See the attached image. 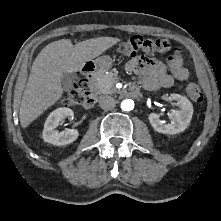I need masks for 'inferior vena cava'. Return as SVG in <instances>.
<instances>
[{
    "label": "inferior vena cava",
    "mask_w": 221,
    "mask_h": 221,
    "mask_svg": "<svg viewBox=\"0 0 221 221\" xmlns=\"http://www.w3.org/2000/svg\"><path fill=\"white\" fill-rule=\"evenodd\" d=\"M99 104L103 110H111L115 107L116 102L113 97L105 95L99 97Z\"/></svg>",
    "instance_id": "1"
}]
</instances>
